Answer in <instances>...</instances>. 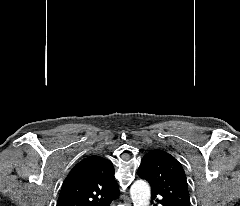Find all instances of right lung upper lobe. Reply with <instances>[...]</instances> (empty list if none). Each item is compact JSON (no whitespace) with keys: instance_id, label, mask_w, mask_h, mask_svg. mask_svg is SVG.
<instances>
[{"instance_id":"obj_1","label":"right lung upper lobe","mask_w":240,"mask_h":206,"mask_svg":"<svg viewBox=\"0 0 240 206\" xmlns=\"http://www.w3.org/2000/svg\"><path fill=\"white\" fill-rule=\"evenodd\" d=\"M119 193L113 164L101 156H89L66 177L57 206H99Z\"/></svg>"}]
</instances>
